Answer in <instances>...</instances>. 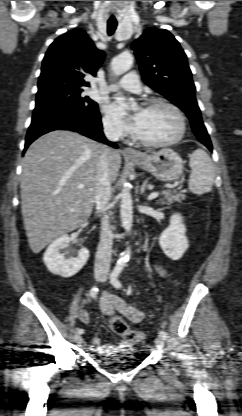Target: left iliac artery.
I'll return each mask as SVG.
<instances>
[{
    "mask_svg": "<svg viewBox=\"0 0 242 416\" xmlns=\"http://www.w3.org/2000/svg\"><path fill=\"white\" fill-rule=\"evenodd\" d=\"M124 264H118L114 270L112 271L111 275H110V281L112 283V285L115 288H121L122 285L120 283V281L118 280V276L121 273V271L123 270ZM159 335L162 336L164 339L167 337V333L164 330H161L159 332Z\"/></svg>",
    "mask_w": 242,
    "mask_h": 416,
    "instance_id": "obj_1",
    "label": "left iliac artery"
}]
</instances>
